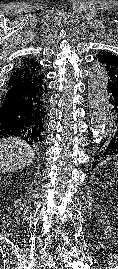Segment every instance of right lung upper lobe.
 Here are the masks:
<instances>
[{"mask_svg":"<svg viewBox=\"0 0 118 269\" xmlns=\"http://www.w3.org/2000/svg\"><path fill=\"white\" fill-rule=\"evenodd\" d=\"M22 62L21 66L13 71L7 87L37 88L38 93L34 101L36 104V127L42 131L47 105V86L44 83L42 67L33 59Z\"/></svg>","mask_w":118,"mask_h":269,"instance_id":"right-lung-upper-lobe-1","label":"right lung upper lobe"}]
</instances>
